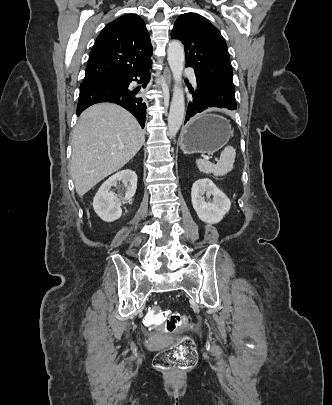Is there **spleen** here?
Wrapping results in <instances>:
<instances>
[{"label":"spleen","mask_w":332,"mask_h":405,"mask_svg":"<svg viewBox=\"0 0 332 405\" xmlns=\"http://www.w3.org/2000/svg\"><path fill=\"white\" fill-rule=\"evenodd\" d=\"M235 156V149L232 146H227L221 151L217 164H212L210 161L203 159H197L196 164L203 174H213L216 177L224 176L233 169Z\"/></svg>","instance_id":"3e777b00"}]
</instances>
